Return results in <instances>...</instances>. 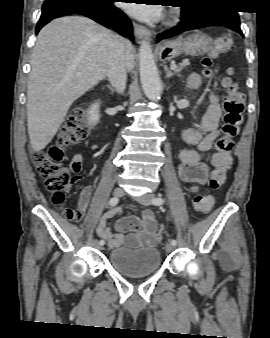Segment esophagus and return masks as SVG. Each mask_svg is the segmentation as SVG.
<instances>
[{
  "instance_id": "34e87169",
  "label": "esophagus",
  "mask_w": 270,
  "mask_h": 338,
  "mask_svg": "<svg viewBox=\"0 0 270 338\" xmlns=\"http://www.w3.org/2000/svg\"><path fill=\"white\" fill-rule=\"evenodd\" d=\"M134 35L142 40V39H151V32L145 28L143 25L134 23Z\"/></svg>"
}]
</instances>
